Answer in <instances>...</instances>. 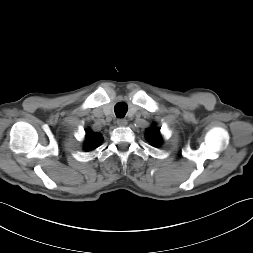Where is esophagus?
<instances>
[{
  "label": "esophagus",
  "instance_id": "34e87169",
  "mask_svg": "<svg viewBox=\"0 0 253 253\" xmlns=\"http://www.w3.org/2000/svg\"><path fill=\"white\" fill-rule=\"evenodd\" d=\"M116 123H117L118 126H126L127 125V120L123 119V118H120V119H117Z\"/></svg>",
  "mask_w": 253,
  "mask_h": 253
}]
</instances>
